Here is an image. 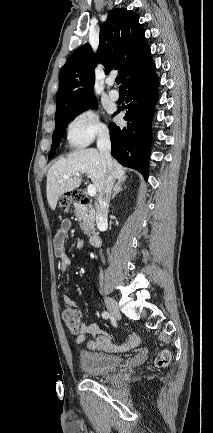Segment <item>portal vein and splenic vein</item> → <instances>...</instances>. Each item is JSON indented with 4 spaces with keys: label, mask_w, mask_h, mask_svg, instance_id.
Listing matches in <instances>:
<instances>
[{
    "label": "portal vein and splenic vein",
    "mask_w": 213,
    "mask_h": 433,
    "mask_svg": "<svg viewBox=\"0 0 213 433\" xmlns=\"http://www.w3.org/2000/svg\"><path fill=\"white\" fill-rule=\"evenodd\" d=\"M72 175H74V176H80V173L79 172H76V173H72V174H68V175H64L63 176V178L64 179H68L70 176H72ZM87 193H88V195L89 196H94L95 194H96V188H95V186L94 185H89L88 187H87Z\"/></svg>",
    "instance_id": "obj_1"
}]
</instances>
